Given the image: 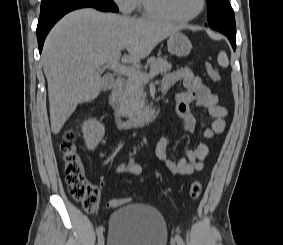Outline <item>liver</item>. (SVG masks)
I'll use <instances>...</instances> for the list:
<instances>
[{"mask_svg": "<svg viewBox=\"0 0 283 245\" xmlns=\"http://www.w3.org/2000/svg\"><path fill=\"white\" fill-rule=\"evenodd\" d=\"M179 27L80 9L64 16L50 31L43 52V71L48 82L51 130L58 134L84 102L96 98L105 82L101 66L121 57L138 63Z\"/></svg>", "mask_w": 283, "mask_h": 245, "instance_id": "6515ba94", "label": "liver"}]
</instances>
